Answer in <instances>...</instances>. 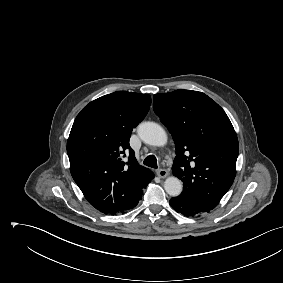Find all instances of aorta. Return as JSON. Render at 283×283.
Returning a JSON list of instances; mask_svg holds the SVG:
<instances>
[{"label":"aorta","mask_w":283,"mask_h":283,"mask_svg":"<svg viewBox=\"0 0 283 283\" xmlns=\"http://www.w3.org/2000/svg\"><path fill=\"white\" fill-rule=\"evenodd\" d=\"M138 135L141 140L152 146H164L167 143L165 130L155 122H143L138 126ZM181 181L174 176L168 177L164 182V189L170 196H178L182 192Z\"/></svg>","instance_id":"762f6f07"}]
</instances>
